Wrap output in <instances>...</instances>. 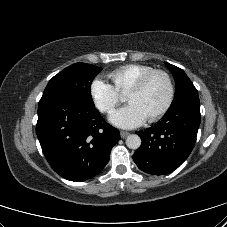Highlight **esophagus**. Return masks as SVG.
<instances>
[{
	"label": "esophagus",
	"instance_id": "esophagus-1",
	"mask_svg": "<svg viewBox=\"0 0 227 227\" xmlns=\"http://www.w3.org/2000/svg\"><path fill=\"white\" fill-rule=\"evenodd\" d=\"M120 135H121V138H122V139H125V138L129 135V132L121 131V132H120Z\"/></svg>",
	"mask_w": 227,
	"mask_h": 227
}]
</instances>
